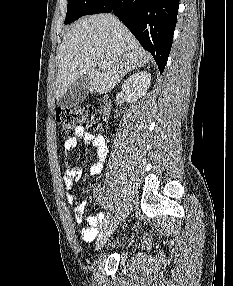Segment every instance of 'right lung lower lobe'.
<instances>
[{
    "label": "right lung lower lobe",
    "instance_id": "98d812e1",
    "mask_svg": "<svg viewBox=\"0 0 233 286\" xmlns=\"http://www.w3.org/2000/svg\"><path fill=\"white\" fill-rule=\"evenodd\" d=\"M179 0H98L85 15L113 12L163 72L172 46Z\"/></svg>",
    "mask_w": 233,
    "mask_h": 286
}]
</instances>
